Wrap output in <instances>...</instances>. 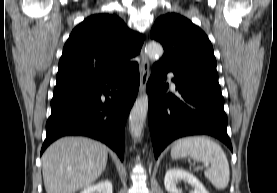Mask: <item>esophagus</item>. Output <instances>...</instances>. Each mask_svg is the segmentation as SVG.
<instances>
[{"label":"esophagus","mask_w":277,"mask_h":193,"mask_svg":"<svg viewBox=\"0 0 277 193\" xmlns=\"http://www.w3.org/2000/svg\"><path fill=\"white\" fill-rule=\"evenodd\" d=\"M140 88H139V93L143 94L145 92L147 83L149 81L150 77V65H149V60L148 57L145 53L144 50V45L140 51Z\"/></svg>","instance_id":"1"}]
</instances>
